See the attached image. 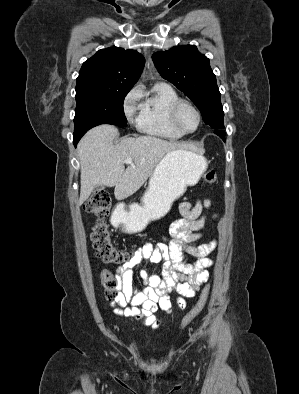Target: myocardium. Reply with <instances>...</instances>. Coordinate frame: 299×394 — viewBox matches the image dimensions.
<instances>
[{"instance_id":"obj_1","label":"myocardium","mask_w":299,"mask_h":394,"mask_svg":"<svg viewBox=\"0 0 299 394\" xmlns=\"http://www.w3.org/2000/svg\"><path fill=\"white\" fill-rule=\"evenodd\" d=\"M183 106L190 107L197 115L198 124H197L196 128L192 131H187V130L183 129L179 123V113H180V110ZM169 119H170V123H171L172 127L183 135L192 134V133L196 132L200 128L201 123H202V116H201V113H200L199 109L197 108V106L194 105L192 102L185 100V99H179L171 106L170 112H169Z\"/></svg>"}]
</instances>
